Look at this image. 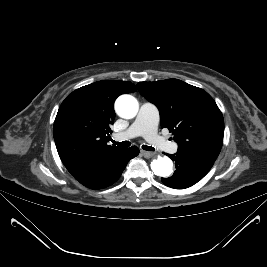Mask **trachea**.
Returning <instances> with one entry per match:
<instances>
[{
    "mask_svg": "<svg viewBox=\"0 0 267 267\" xmlns=\"http://www.w3.org/2000/svg\"><path fill=\"white\" fill-rule=\"evenodd\" d=\"M112 143L116 144L118 147H129L131 143L129 141L116 142L112 140ZM142 149L146 151H154L155 149L152 146L142 145Z\"/></svg>",
    "mask_w": 267,
    "mask_h": 267,
    "instance_id": "obj_1",
    "label": "trachea"
}]
</instances>
